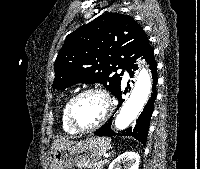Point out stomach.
Returning a JSON list of instances; mask_svg holds the SVG:
<instances>
[{"instance_id": "0dacf381", "label": "stomach", "mask_w": 200, "mask_h": 169, "mask_svg": "<svg viewBox=\"0 0 200 169\" xmlns=\"http://www.w3.org/2000/svg\"><path fill=\"white\" fill-rule=\"evenodd\" d=\"M110 147V140L102 137H91L75 145L62 146L51 152L50 169H72L78 164L94 163Z\"/></svg>"}]
</instances>
